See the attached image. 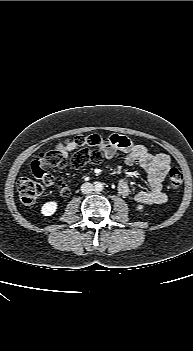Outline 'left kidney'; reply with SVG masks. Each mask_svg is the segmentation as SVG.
<instances>
[{"instance_id": "5707ae66", "label": "left kidney", "mask_w": 193, "mask_h": 351, "mask_svg": "<svg viewBox=\"0 0 193 351\" xmlns=\"http://www.w3.org/2000/svg\"><path fill=\"white\" fill-rule=\"evenodd\" d=\"M137 209H138V210H142V209H143V205H138V206H137Z\"/></svg>"}]
</instances>
